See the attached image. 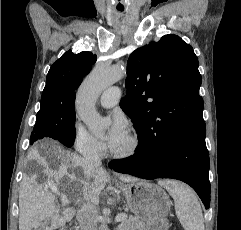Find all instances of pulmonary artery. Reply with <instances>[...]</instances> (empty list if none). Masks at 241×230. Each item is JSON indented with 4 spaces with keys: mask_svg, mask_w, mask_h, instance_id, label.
I'll use <instances>...</instances> for the list:
<instances>
[{
    "mask_svg": "<svg viewBox=\"0 0 241 230\" xmlns=\"http://www.w3.org/2000/svg\"><path fill=\"white\" fill-rule=\"evenodd\" d=\"M120 96L121 90L118 87H110L102 93L100 97V104L105 108H111L116 105Z\"/></svg>",
    "mask_w": 241,
    "mask_h": 230,
    "instance_id": "obj_1",
    "label": "pulmonary artery"
}]
</instances>
